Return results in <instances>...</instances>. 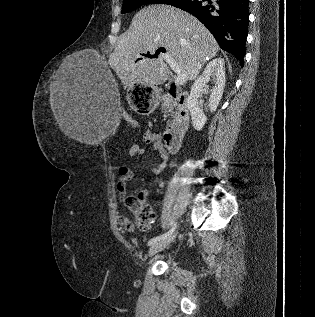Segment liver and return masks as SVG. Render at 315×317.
Segmentation results:
<instances>
[{
    "mask_svg": "<svg viewBox=\"0 0 315 317\" xmlns=\"http://www.w3.org/2000/svg\"><path fill=\"white\" fill-rule=\"evenodd\" d=\"M159 47H164L166 52L156 59L142 55L153 54ZM218 50L212 34L195 17L169 5H151L134 16L108 63L125 87L132 88L139 83L154 86L166 82L169 77L165 55L178 63L186 74V80H193L206 60L213 58ZM69 65L70 61L66 60L60 71ZM53 92L51 109L59 128L68 137L83 141L82 121L70 106V101L61 102ZM108 96L115 100V104L119 103V98H115L117 92L111 90Z\"/></svg>",
    "mask_w": 315,
    "mask_h": 317,
    "instance_id": "1",
    "label": "liver"
}]
</instances>
